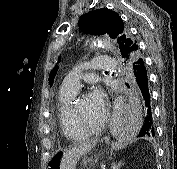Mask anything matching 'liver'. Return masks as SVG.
Instances as JSON below:
<instances>
[{"label":"liver","instance_id":"liver-1","mask_svg":"<svg viewBox=\"0 0 177 169\" xmlns=\"http://www.w3.org/2000/svg\"><path fill=\"white\" fill-rule=\"evenodd\" d=\"M95 145L96 141H93L65 151L60 161V169H75L80 157L91 151Z\"/></svg>","mask_w":177,"mask_h":169}]
</instances>
